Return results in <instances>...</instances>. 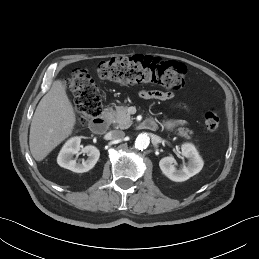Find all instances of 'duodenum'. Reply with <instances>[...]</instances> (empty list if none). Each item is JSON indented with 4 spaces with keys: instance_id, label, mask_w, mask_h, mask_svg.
<instances>
[{
    "instance_id": "obj_1",
    "label": "duodenum",
    "mask_w": 259,
    "mask_h": 259,
    "mask_svg": "<svg viewBox=\"0 0 259 259\" xmlns=\"http://www.w3.org/2000/svg\"><path fill=\"white\" fill-rule=\"evenodd\" d=\"M108 121H109V118L107 114H101L91 121L90 128L95 133L103 134L107 131ZM140 127L143 129L153 130L155 129L156 124L152 120H145L144 122L141 123Z\"/></svg>"
}]
</instances>
